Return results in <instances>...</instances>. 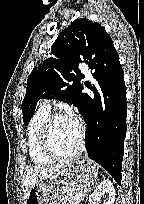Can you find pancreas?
<instances>
[{
  "mask_svg": "<svg viewBox=\"0 0 144 204\" xmlns=\"http://www.w3.org/2000/svg\"><path fill=\"white\" fill-rule=\"evenodd\" d=\"M77 192L69 193L65 196H60L61 204H78L79 199L76 197Z\"/></svg>",
  "mask_w": 144,
  "mask_h": 204,
  "instance_id": "pancreas-1",
  "label": "pancreas"
}]
</instances>
